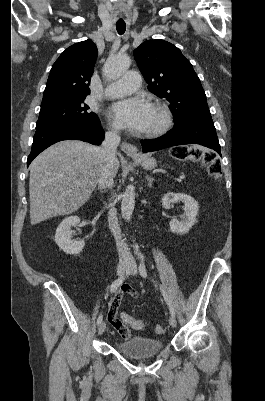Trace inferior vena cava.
I'll list each match as a JSON object with an SVG mask.
<instances>
[{
	"instance_id": "inferior-vena-cava-1",
	"label": "inferior vena cava",
	"mask_w": 265,
	"mask_h": 401,
	"mask_svg": "<svg viewBox=\"0 0 265 401\" xmlns=\"http://www.w3.org/2000/svg\"><path fill=\"white\" fill-rule=\"evenodd\" d=\"M120 136L118 134V128H111L105 134V140L102 142L103 158H104V170L99 176L98 186L99 188H113V166L116 158V148L120 144ZM109 229L113 233V237L116 241V247L119 255V259H131L132 255L127 249L126 245L122 243L121 229L118 225L117 211L115 207H111L108 217Z\"/></svg>"
}]
</instances>
